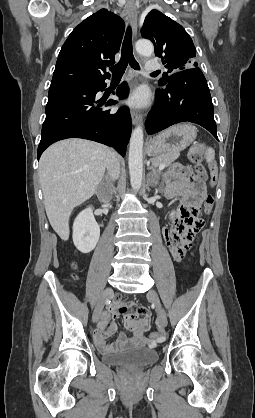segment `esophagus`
<instances>
[{
	"label": "esophagus",
	"instance_id": "obj_1",
	"mask_svg": "<svg viewBox=\"0 0 255 418\" xmlns=\"http://www.w3.org/2000/svg\"><path fill=\"white\" fill-rule=\"evenodd\" d=\"M126 11H127L128 17H129V19L131 21V24H132L133 35H136V32H137V11H136V7H135V5L132 1L127 3ZM131 118H132L133 124L136 125L138 122H140L141 115L138 112L132 111L131 112Z\"/></svg>",
	"mask_w": 255,
	"mask_h": 418
}]
</instances>
